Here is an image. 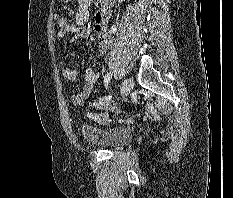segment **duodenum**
<instances>
[{
    "mask_svg": "<svg viewBox=\"0 0 233 198\" xmlns=\"http://www.w3.org/2000/svg\"><path fill=\"white\" fill-rule=\"evenodd\" d=\"M105 6H110L113 0H103Z\"/></svg>",
    "mask_w": 233,
    "mask_h": 198,
    "instance_id": "410a0bca",
    "label": "duodenum"
}]
</instances>
